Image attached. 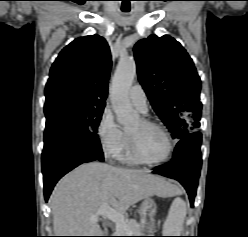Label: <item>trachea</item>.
I'll return each instance as SVG.
<instances>
[{"mask_svg": "<svg viewBox=\"0 0 248 237\" xmlns=\"http://www.w3.org/2000/svg\"><path fill=\"white\" fill-rule=\"evenodd\" d=\"M124 12H127V11H129V10H123Z\"/></svg>", "mask_w": 248, "mask_h": 237, "instance_id": "obj_1", "label": "trachea"}]
</instances>
